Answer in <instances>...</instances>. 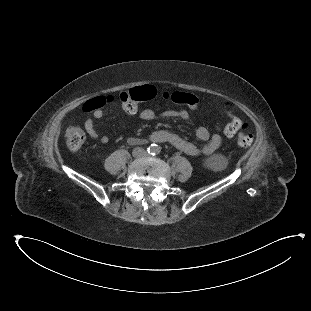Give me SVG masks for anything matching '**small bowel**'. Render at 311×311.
I'll use <instances>...</instances> for the list:
<instances>
[{"mask_svg": "<svg viewBox=\"0 0 311 311\" xmlns=\"http://www.w3.org/2000/svg\"><path fill=\"white\" fill-rule=\"evenodd\" d=\"M166 117H175L182 120H189L190 115L187 110H170L166 111L164 114ZM103 117V112L98 110L94 113V118L101 119ZM139 117L143 121H151L156 117V113L153 109L146 108L142 110L139 114ZM87 134L91 138H98V132L95 128L94 120L89 118L85 121L84 124ZM196 136L199 140L206 142L203 146H197L181 136L170 132V131H156L151 133L148 136V141L150 142H166L181 150L182 152L191 155V156H209L214 151L218 149L221 144V137L218 134H210L209 130L206 127L200 126L196 129ZM100 141L102 143L108 142L107 136H101Z\"/></svg>", "mask_w": 311, "mask_h": 311, "instance_id": "1", "label": "small bowel"}]
</instances>
